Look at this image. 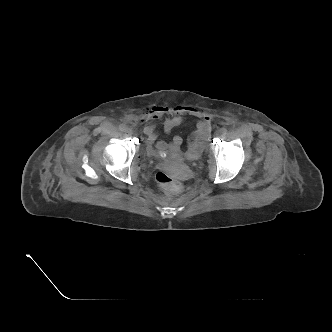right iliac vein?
I'll return each instance as SVG.
<instances>
[{
  "instance_id": "obj_1",
  "label": "right iliac vein",
  "mask_w": 332,
  "mask_h": 332,
  "mask_svg": "<svg viewBox=\"0 0 332 332\" xmlns=\"http://www.w3.org/2000/svg\"><path fill=\"white\" fill-rule=\"evenodd\" d=\"M126 132L129 133V134H132L133 133V130L131 128H127L126 129Z\"/></svg>"
}]
</instances>
